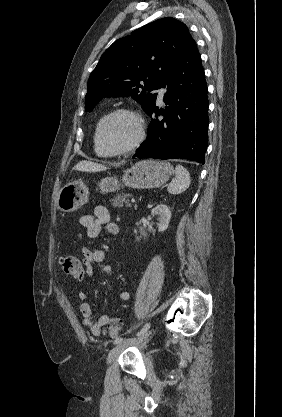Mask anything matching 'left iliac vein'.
Returning <instances> with one entry per match:
<instances>
[{"label": "left iliac vein", "instance_id": "1", "mask_svg": "<svg viewBox=\"0 0 282 417\" xmlns=\"http://www.w3.org/2000/svg\"><path fill=\"white\" fill-rule=\"evenodd\" d=\"M151 333H152V330L147 331L140 336H137L128 340H124L118 343L113 349L110 350L108 357H107V363L111 364L115 359L118 358L121 352L124 349H126L128 346L142 343L144 340H146L150 336Z\"/></svg>", "mask_w": 282, "mask_h": 417}]
</instances>
